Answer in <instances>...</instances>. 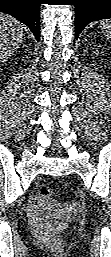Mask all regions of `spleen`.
I'll list each match as a JSON object with an SVG mask.
<instances>
[{"instance_id": "spleen-1", "label": "spleen", "mask_w": 111, "mask_h": 257, "mask_svg": "<svg viewBox=\"0 0 111 257\" xmlns=\"http://www.w3.org/2000/svg\"><path fill=\"white\" fill-rule=\"evenodd\" d=\"M101 30L107 37V40L111 43V19L101 22Z\"/></svg>"}]
</instances>
